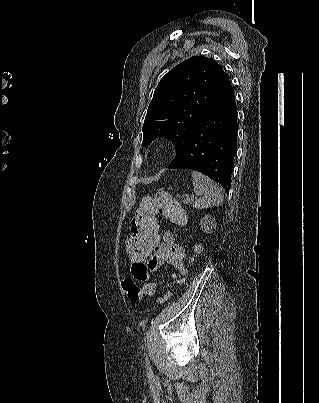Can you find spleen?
Segmentation results:
<instances>
[{
    "mask_svg": "<svg viewBox=\"0 0 319 403\" xmlns=\"http://www.w3.org/2000/svg\"><path fill=\"white\" fill-rule=\"evenodd\" d=\"M194 192L198 199L193 203L195 208L220 206L223 201L222 189L204 174L192 171Z\"/></svg>",
    "mask_w": 319,
    "mask_h": 403,
    "instance_id": "spleen-1",
    "label": "spleen"
}]
</instances>
